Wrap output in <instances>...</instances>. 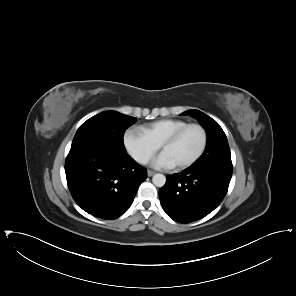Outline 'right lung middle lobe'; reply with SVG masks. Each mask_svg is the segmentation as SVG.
<instances>
[{"label":"right lung middle lobe","instance_id":"dd1d6c3e","mask_svg":"<svg viewBox=\"0 0 296 296\" xmlns=\"http://www.w3.org/2000/svg\"><path fill=\"white\" fill-rule=\"evenodd\" d=\"M136 122V118L116 111H105L85 121L77 130L71 148L99 146L112 152L126 153L123 135Z\"/></svg>","mask_w":296,"mask_h":296}]
</instances>
